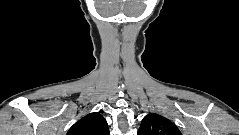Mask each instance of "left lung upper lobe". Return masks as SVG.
<instances>
[{
    "instance_id": "5c2ea615",
    "label": "left lung upper lobe",
    "mask_w": 239,
    "mask_h": 135,
    "mask_svg": "<svg viewBox=\"0 0 239 135\" xmlns=\"http://www.w3.org/2000/svg\"><path fill=\"white\" fill-rule=\"evenodd\" d=\"M138 135H182L179 129L167 118L150 113L146 115L138 130Z\"/></svg>"
}]
</instances>
